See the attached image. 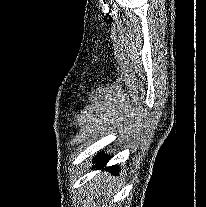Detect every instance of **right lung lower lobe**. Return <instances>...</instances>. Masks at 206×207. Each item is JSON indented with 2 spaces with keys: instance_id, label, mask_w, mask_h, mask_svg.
<instances>
[{
  "instance_id": "1",
  "label": "right lung lower lobe",
  "mask_w": 206,
  "mask_h": 207,
  "mask_svg": "<svg viewBox=\"0 0 206 207\" xmlns=\"http://www.w3.org/2000/svg\"><path fill=\"white\" fill-rule=\"evenodd\" d=\"M109 159H110V156H107L105 154L103 156L100 155L98 157H95V162H96L97 168L104 167L106 165V163L109 161ZM107 169H109L113 173L119 172L118 166H111V167H108Z\"/></svg>"
}]
</instances>
